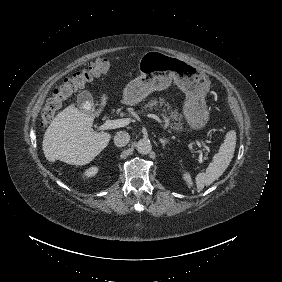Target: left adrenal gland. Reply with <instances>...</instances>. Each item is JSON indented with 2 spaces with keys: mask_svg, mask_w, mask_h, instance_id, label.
<instances>
[{
  "mask_svg": "<svg viewBox=\"0 0 282 282\" xmlns=\"http://www.w3.org/2000/svg\"><path fill=\"white\" fill-rule=\"evenodd\" d=\"M158 139L162 143V145H164L165 142L169 140L168 138H165V137H163V138L158 137Z\"/></svg>",
  "mask_w": 282,
  "mask_h": 282,
  "instance_id": "1",
  "label": "left adrenal gland"
}]
</instances>
